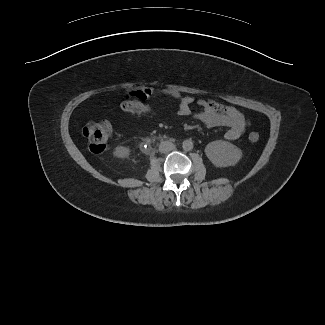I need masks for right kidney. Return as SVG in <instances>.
<instances>
[{"label": "right kidney", "instance_id": "right-kidney-1", "mask_svg": "<svg viewBox=\"0 0 325 325\" xmlns=\"http://www.w3.org/2000/svg\"><path fill=\"white\" fill-rule=\"evenodd\" d=\"M130 154V150L124 146H118L114 150V155L118 158H127Z\"/></svg>", "mask_w": 325, "mask_h": 325}]
</instances>
